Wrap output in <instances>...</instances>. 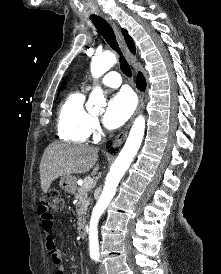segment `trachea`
Instances as JSON below:
<instances>
[{
    "label": "trachea",
    "instance_id": "trachea-1",
    "mask_svg": "<svg viewBox=\"0 0 221 274\" xmlns=\"http://www.w3.org/2000/svg\"><path fill=\"white\" fill-rule=\"evenodd\" d=\"M90 20L93 22L96 29L100 32V34L103 36V38L107 41V43L110 45V47L115 50L119 54V62H120V68L122 72L127 76H132L131 68L126 61L125 57L122 55V52L119 48V45L116 41L115 34L113 32L112 27L101 17L99 16H91Z\"/></svg>",
    "mask_w": 221,
    "mask_h": 274
}]
</instances>
